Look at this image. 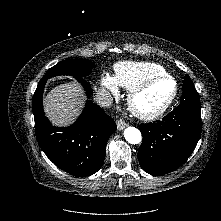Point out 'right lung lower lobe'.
Segmentation results:
<instances>
[{"label": "right lung lower lobe", "instance_id": "obj_1", "mask_svg": "<svg viewBox=\"0 0 221 221\" xmlns=\"http://www.w3.org/2000/svg\"><path fill=\"white\" fill-rule=\"evenodd\" d=\"M47 79L38 85L33 97V114L38 143L46 156L59 168L74 176H89L104 162L107 140L116 124L104 110L87 101L82 115L71 126L57 128L44 116L42 94ZM87 95H92L90 84L78 78Z\"/></svg>", "mask_w": 221, "mask_h": 221}]
</instances>
